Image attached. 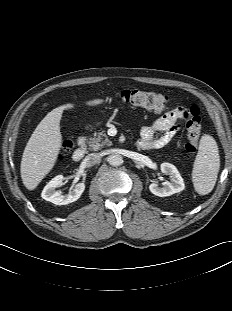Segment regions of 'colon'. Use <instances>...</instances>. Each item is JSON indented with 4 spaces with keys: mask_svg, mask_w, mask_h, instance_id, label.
<instances>
[{
    "mask_svg": "<svg viewBox=\"0 0 232 311\" xmlns=\"http://www.w3.org/2000/svg\"><path fill=\"white\" fill-rule=\"evenodd\" d=\"M119 99L127 104L142 107L155 112H162L166 109L168 98L159 93L147 92L139 89H126L118 94ZM183 119L186 124L188 141L185 149L189 154L196 152L200 138V110L198 106L192 105L185 109ZM72 149L70 142L62 145V152L68 153ZM62 157V156H60Z\"/></svg>",
    "mask_w": 232,
    "mask_h": 311,
    "instance_id": "1",
    "label": "colon"
}]
</instances>
